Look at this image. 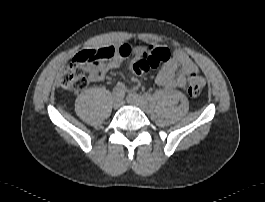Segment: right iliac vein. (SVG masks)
Returning <instances> with one entry per match:
<instances>
[{
  "mask_svg": "<svg viewBox=\"0 0 265 202\" xmlns=\"http://www.w3.org/2000/svg\"><path fill=\"white\" fill-rule=\"evenodd\" d=\"M122 104H123V100H122L121 97H116V98H114V100H113V107H114L115 109L120 108V107L122 106Z\"/></svg>",
  "mask_w": 265,
  "mask_h": 202,
  "instance_id": "63e3f726",
  "label": "right iliac vein"
}]
</instances>
